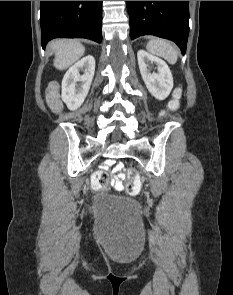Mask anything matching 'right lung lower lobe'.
I'll use <instances>...</instances> for the list:
<instances>
[{
  "label": "right lung lower lobe",
  "mask_w": 233,
  "mask_h": 295,
  "mask_svg": "<svg viewBox=\"0 0 233 295\" xmlns=\"http://www.w3.org/2000/svg\"><path fill=\"white\" fill-rule=\"evenodd\" d=\"M42 47L57 37L102 41V1H41Z\"/></svg>",
  "instance_id": "obj_1"
}]
</instances>
